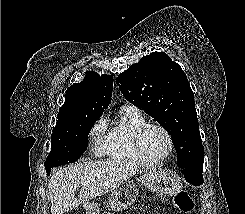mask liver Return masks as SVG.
<instances>
[{
    "label": "liver",
    "mask_w": 245,
    "mask_h": 214,
    "mask_svg": "<svg viewBox=\"0 0 245 214\" xmlns=\"http://www.w3.org/2000/svg\"><path fill=\"white\" fill-rule=\"evenodd\" d=\"M137 172L139 168L136 165L119 160H88L60 169L52 175L48 184L51 213L63 214L108 193ZM80 186L79 195L75 197V191Z\"/></svg>",
    "instance_id": "liver-1"
}]
</instances>
